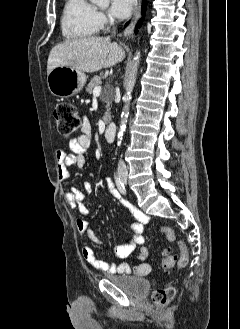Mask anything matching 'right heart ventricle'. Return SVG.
I'll list each match as a JSON object with an SVG mask.
<instances>
[{
	"mask_svg": "<svg viewBox=\"0 0 240 329\" xmlns=\"http://www.w3.org/2000/svg\"><path fill=\"white\" fill-rule=\"evenodd\" d=\"M98 30L97 10L89 0H66L61 16V31L65 39H86Z\"/></svg>",
	"mask_w": 240,
	"mask_h": 329,
	"instance_id": "e07e8e85",
	"label": "right heart ventricle"
}]
</instances>
